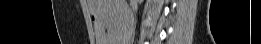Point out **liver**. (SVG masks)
Segmentation results:
<instances>
[{
	"label": "liver",
	"instance_id": "liver-1",
	"mask_svg": "<svg viewBox=\"0 0 261 44\" xmlns=\"http://www.w3.org/2000/svg\"><path fill=\"white\" fill-rule=\"evenodd\" d=\"M88 5L96 18L97 44L129 42V36L124 32L127 25L122 24H134V19H129L126 0H88Z\"/></svg>",
	"mask_w": 261,
	"mask_h": 44
}]
</instances>
